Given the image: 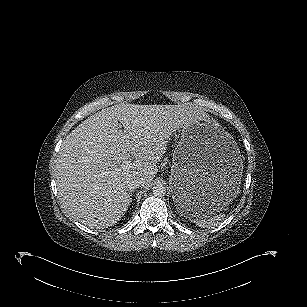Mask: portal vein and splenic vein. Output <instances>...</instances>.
Listing matches in <instances>:
<instances>
[{
  "mask_svg": "<svg viewBox=\"0 0 307 307\" xmlns=\"http://www.w3.org/2000/svg\"><path fill=\"white\" fill-rule=\"evenodd\" d=\"M132 161H131V159H128L127 161H125V163H131Z\"/></svg>",
  "mask_w": 307,
  "mask_h": 307,
  "instance_id": "obj_1",
  "label": "portal vein and splenic vein"
}]
</instances>
